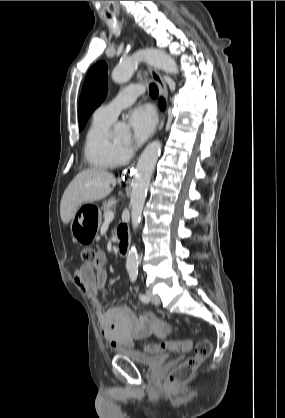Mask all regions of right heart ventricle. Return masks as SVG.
Listing matches in <instances>:
<instances>
[{
    "instance_id": "1",
    "label": "right heart ventricle",
    "mask_w": 285,
    "mask_h": 418,
    "mask_svg": "<svg viewBox=\"0 0 285 418\" xmlns=\"http://www.w3.org/2000/svg\"><path fill=\"white\" fill-rule=\"evenodd\" d=\"M111 124L112 122L93 116L87 129L83 151L86 161L93 169H109L124 161V155L109 138Z\"/></svg>"
}]
</instances>
